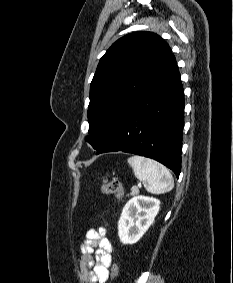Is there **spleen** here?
I'll use <instances>...</instances> for the list:
<instances>
[{
    "instance_id": "spleen-1",
    "label": "spleen",
    "mask_w": 233,
    "mask_h": 283,
    "mask_svg": "<svg viewBox=\"0 0 233 283\" xmlns=\"http://www.w3.org/2000/svg\"><path fill=\"white\" fill-rule=\"evenodd\" d=\"M134 175L144 183L146 190L152 194H163L174 187L170 171L155 160L143 156H132L128 159Z\"/></svg>"
}]
</instances>
